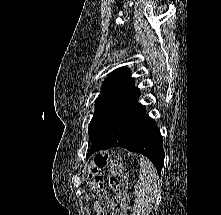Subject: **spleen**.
<instances>
[{"mask_svg": "<svg viewBox=\"0 0 221 215\" xmlns=\"http://www.w3.org/2000/svg\"><path fill=\"white\" fill-rule=\"evenodd\" d=\"M140 167L135 185L133 215H149L158 196L160 183L156 168L147 158H140Z\"/></svg>", "mask_w": 221, "mask_h": 215, "instance_id": "3e777b00", "label": "spleen"}]
</instances>
